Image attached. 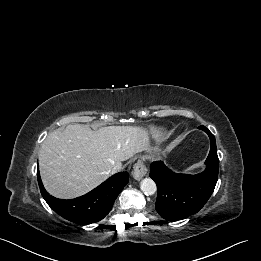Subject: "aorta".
Listing matches in <instances>:
<instances>
[{"label": "aorta", "instance_id": "762f6f07", "mask_svg": "<svg viewBox=\"0 0 261 261\" xmlns=\"http://www.w3.org/2000/svg\"><path fill=\"white\" fill-rule=\"evenodd\" d=\"M140 189L146 195H153L157 191L156 183L151 178H145L140 182Z\"/></svg>", "mask_w": 261, "mask_h": 261}]
</instances>
